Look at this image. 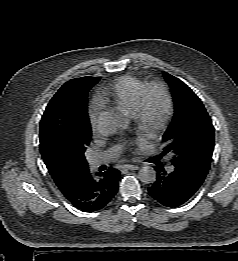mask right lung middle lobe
<instances>
[{
	"mask_svg": "<svg viewBox=\"0 0 238 261\" xmlns=\"http://www.w3.org/2000/svg\"><path fill=\"white\" fill-rule=\"evenodd\" d=\"M99 79L66 82L50 100L40 122V151L48 170L73 172L88 165L84 152L90 138L78 144L66 142L60 135L57 121L69 119L79 124H89L87 94Z\"/></svg>",
	"mask_w": 238,
	"mask_h": 261,
	"instance_id": "right-lung-middle-lobe-1",
	"label": "right lung middle lobe"
}]
</instances>
